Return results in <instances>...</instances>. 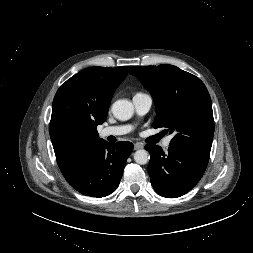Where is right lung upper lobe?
Here are the masks:
<instances>
[{
  "label": "right lung upper lobe",
  "instance_id": "1",
  "mask_svg": "<svg viewBox=\"0 0 253 253\" xmlns=\"http://www.w3.org/2000/svg\"><path fill=\"white\" fill-rule=\"evenodd\" d=\"M129 66L89 67L58 89L52 106L50 137L62 173L68 171L95 143L102 141L97 126L108 115L113 93Z\"/></svg>",
  "mask_w": 253,
  "mask_h": 253
}]
</instances>
